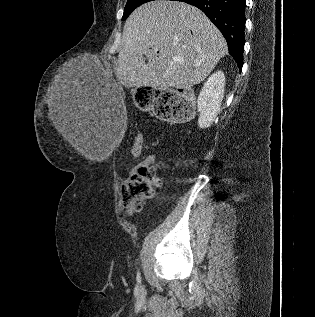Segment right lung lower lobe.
Wrapping results in <instances>:
<instances>
[{
	"mask_svg": "<svg viewBox=\"0 0 315 317\" xmlns=\"http://www.w3.org/2000/svg\"><path fill=\"white\" fill-rule=\"evenodd\" d=\"M202 10L225 37L229 54L239 69L243 66L246 0H176Z\"/></svg>",
	"mask_w": 315,
	"mask_h": 317,
	"instance_id": "98d812e1",
	"label": "right lung lower lobe"
}]
</instances>
